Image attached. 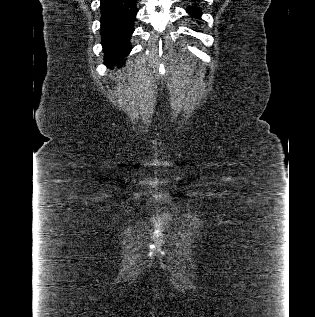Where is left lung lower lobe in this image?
<instances>
[{
  "label": "left lung lower lobe",
  "mask_w": 315,
  "mask_h": 317,
  "mask_svg": "<svg viewBox=\"0 0 315 317\" xmlns=\"http://www.w3.org/2000/svg\"><path fill=\"white\" fill-rule=\"evenodd\" d=\"M192 1L195 2L198 0H192ZM186 10L192 17H195L197 19L200 18L201 14H202V12L197 7H189Z\"/></svg>",
  "instance_id": "0a47b994"
}]
</instances>
